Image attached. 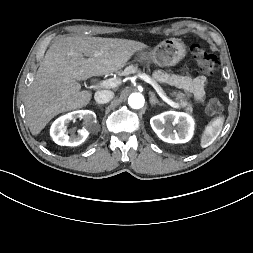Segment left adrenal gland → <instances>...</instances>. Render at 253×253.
Wrapping results in <instances>:
<instances>
[{
  "mask_svg": "<svg viewBox=\"0 0 253 253\" xmlns=\"http://www.w3.org/2000/svg\"><path fill=\"white\" fill-rule=\"evenodd\" d=\"M149 95H150V104H151V106H154V105H156V104H158V105H160V106L163 105L162 103H160V102L156 99L155 94H154L153 92H149Z\"/></svg>",
  "mask_w": 253,
  "mask_h": 253,
  "instance_id": "obj_1",
  "label": "left adrenal gland"
}]
</instances>
